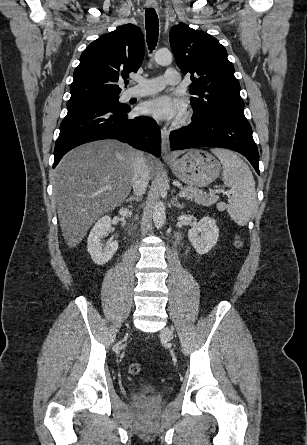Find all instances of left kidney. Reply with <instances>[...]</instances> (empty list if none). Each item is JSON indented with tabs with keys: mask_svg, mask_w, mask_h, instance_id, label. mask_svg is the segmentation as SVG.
<instances>
[{
	"mask_svg": "<svg viewBox=\"0 0 307 445\" xmlns=\"http://www.w3.org/2000/svg\"><path fill=\"white\" fill-rule=\"evenodd\" d=\"M219 237L216 220L203 216L198 225L188 231V239L198 255H206L215 247Z\"/></svg>",
	"mask_w": 307,
	"mask_h": 445,
	"instance_id": "left-kidney-1",
	"label": "left kidney"
}]
</instances>
